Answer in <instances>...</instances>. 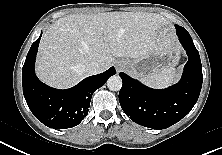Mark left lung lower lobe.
I'll list each match as a JSON object with an SVG mask.
<instances>
[{
	"label": "left lung lower lobe",
	"instance_id": "0a47b994",
	"mask_svg": "<svg viewBox=\"0 0 222 155\" xmlns=\"http://www.w3.org/2000/svg\"><path fill=\"white\" fill-rule=\"evenodd\" d=\"M176 32L189 57L181 80L166 89L148 88L125 73L119 101L125 114L139 125L165 129L186 116L198 100L202 82L199 52L187 30L176 25Z\"/></svg>",
	"mask_w": 222,
	"mask_h": 155
}]
</instances>
